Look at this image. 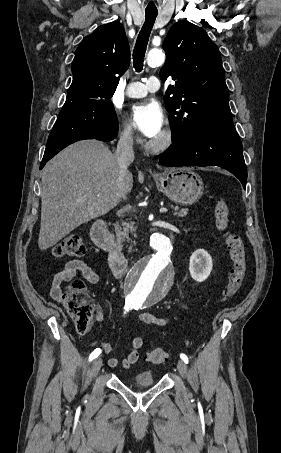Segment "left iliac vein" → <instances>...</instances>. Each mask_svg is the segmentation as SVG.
<instances>
[{
	"mask_svg": "<svg viewBox=\"0 0 281 453\" xmlns=\"http://www.w3.org/2000/svg\"><path fill=\"white\" fill-rule=\"evenodd\" d=\"M177 369L180 371L182 375H185L188 371V368L183 360H180L177 364Z\"/></svg>",
	"mask_w": 281,
	"mask_h": 453,
	"instance_id": "obj_1",
	"label": "left iliac vein"
}]
</instances>
